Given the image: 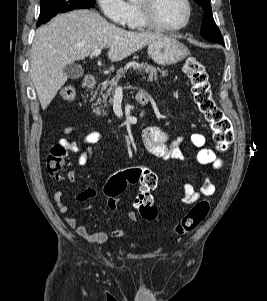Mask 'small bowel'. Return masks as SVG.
Segmentation results:
<instances>
[{"instance_id":"1","label":"small bowel","mask_w":267,"mask_h":301,"mask_svg":"<svg viewBox=\"0 0 267 301\" xmlns=\"http://www.w3.org/2000/svg\"><path fill=\"white\" fill-rule=\"evenodd\" d=\"M64 135H72L79 132V127L76 125H67L63 128ZM142 144L144 148L152 155L166 159V160H179L186 159L182 149V137L172 139L170 135L162 128L155 126H148L142 130ZM102 141V135L99 132H90L79 140H68L61 138L59 144L65 149L74 153H79L77 163L79 166H84L92 155V145L98 144ZM190 145L196 149L195 161L197 165L204 168L207 165H212L216 170L223 167V162L217 157L213 149L206 146L207 139L203 133H194L190 137ZM67 179L70 182H75L76 174L74 171L67 173ZM182 201L186 204L196 202L201 196H211L215 192V185L210 180L206 172L203 171L202 183L199 189H196L193 184L186 183L183 187ZM97 195L95 188H88L83 192L76 195L77 201H86L94 198ZM125 199V195L116 200L109 206L111 211H116L117 204ZM54 201L64 216L66 223L73 228L76 233L82 238L91 243L102 244L107 242L110 238L120 237L124 234L122 229L113 230L110 233L99 231L90 232L84 225L78 224L77 220L70 214L69 208L62 202V193L57 191L54 193ZM128 219L136 221L137 216L135 212L129 211L124 214Z\"/></svg>"}]
</instances>
